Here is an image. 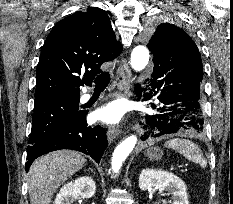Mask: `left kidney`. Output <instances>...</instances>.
<instances>
[{
  "mask_svg": "<svg viewBox=\"0 0 233 204\" xmlns=\"http://www.w3.org/2000/svg\"><path fill=\"white\" fill-rule=\"evenodd\" d=\"M141 190L158 189L172 196V204H189L184 182L173 173L154 169H144L139 176Z\"/></svg>",
  "mask_w": 233,
  "mask_h": 204,
  "instance_id": "left-kidney-1",
  "label": "left kidney"
}]
</instances>
